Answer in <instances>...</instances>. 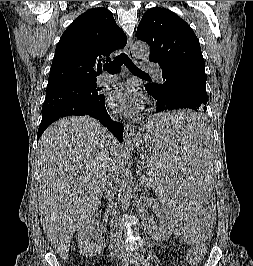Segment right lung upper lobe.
<instances>
[{
  "mask_svg": "<svg viewBox=\"0 0 253 266\" xmlns=\"http://www.w3.org/2000/svg\"><path fill=\"white\" fill-rule=\"evenodd\" d=\"M127 37L113 14L99 7L77 17L55 49L47 88L69 82H90L102 73L110 54L125 47Z\"/></svg>",
  "mask_w": 253,
  "mask_h": 266,
  "instance_id": "right-lung-upper-lobe-1",
  "label": "right lung upper lobe"
}]
</instances>
